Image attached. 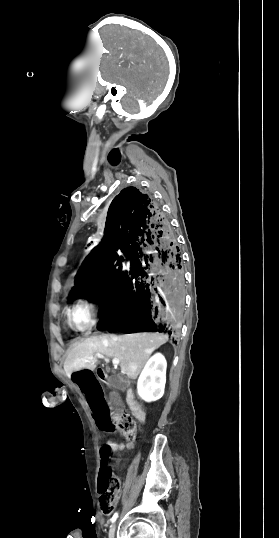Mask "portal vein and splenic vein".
<instances>
[{"mask_svg": "<svg viewBox=\"0 0 279 538\" xmlns=\"http://www.w3.org/2000/svg\"><path fill=\"white\" fill-rule=\"evenodd\" d=\"M96 356L97 358H102V360L105 361V364H110L109 356H107L104 351H101L99 354H96ZM112 364H114V366H117V364H120V360L114 358V360H112Z\"/></svg>", "mask_w": 279, "mask_h": 538, "instance_id": "obj_1", "label": "portal vein and splenic vein"}]
</instances>
